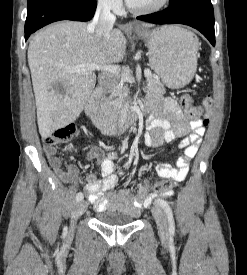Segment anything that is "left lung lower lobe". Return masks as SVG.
I'll return each mask as SVG.
<instances>
[{
  "label": "left lung lower lobe",
  "instance_id": "0a47b994",
  "mask_svg": "<svg viewBox=\"0 0 247 275\" xmlns=\"http://www.w3.org/2000/svg\"><path fill=\"white\" fill-rule=\"evenodd\" d=\"M137 19L155 24H185L199 30L215 46L214 11L210 0H183Z\"/></svg>",
  "mask_w": 247,
  "mask_h": 275
}]
</instances>
